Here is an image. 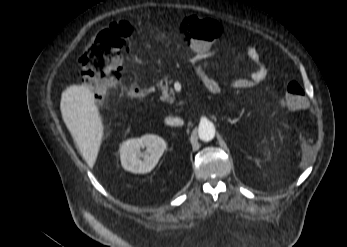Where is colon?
<instances>
[{"instance_id":"1","label":"colon","mask_w":347,"mask_h":247,"mask_svg":"<svg viewBox=\"0 0 347 247\" xmlns=\"http://www.w3.org/2000/svg\"><path fill=\"white\" fill-rule=\"evenodd\" d=\"M180 36L194 51L210 49L223 34L221 25L208 18L188 16L178 26ZM133 27L127 21H116L99 32L80 59V73L84 83L103 99L121 76L124 47ZM282 106L290 110L306 107L307 99L301 83L290 81L281 97Z\"/></svg>"}]
</instances>
